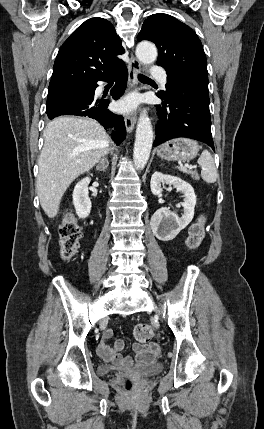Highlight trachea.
I'll return each instance as SVG.
<instances>
[{"instance_id": "3493384b", "label": "trachea", "mask_w": 264, "mask_h": 429, "mask_svg": "<svg viewBox=\"0 0 264 429\" xmlns=\"http://www.w3.org/2000/svg\"><path fill=\"white\" fill-rule=\"evenodd\" d=\"M138 77H139V79H149L148 77L141 75V74Z\"/></svg>"}]
</instances>
